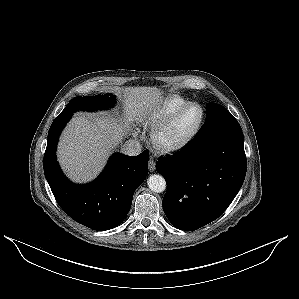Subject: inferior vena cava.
I'll use <instances>...</instances> for the list:
<instances>
[{
  "mask_svg": "<svg viewBox=\"0 0 299 299\" xmlns=\"http://www.w3.org/2000/svg\"><path fill=\"white\" fill-rule=\"evenodd\" d=\"M121 151L126 155L136 156L141 153L142 147L138 141L128 140L122 145Z\"/></svg>",
  "mask_w": 299,
  "mask_h": 299,
  "instance_id": "obj_1",
  "label": "inferior vena cava"
}]
</instances>
